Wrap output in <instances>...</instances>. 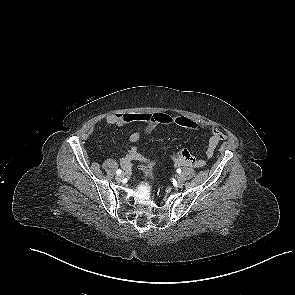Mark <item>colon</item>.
<instances>
[{
  "label": "colon",
  "mask_w": 295,
  "mask_h": 295,
  "mask_svg": "<svg viewBox=\"0 0 295 295\" xmlns=\"http://www.w3.org/2000/svg\"><path fill=\"white\" fill-rule=\"evenodd\" d=\"M179 152H180V151H179ZM179 152H178V153H179ZM141 169H142V171H143L146 175L150 174L151 169H152V162H150V161H145V162L142 164Z\"/></svg>",
  "instance_id": "1"
}]
</instances>
